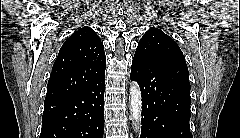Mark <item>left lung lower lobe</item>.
Here are the masks:
<instances>
[{
    "mask_svg": "<svg viewBox=\"0 0 240 138\" xmlns=\"http://www.w3.org/2000/svg\"><path fill=\"white\" fill-rule=\"evenodd\" d=\"M130 78L142 94L141 138H192L187 65L134 57Z\"/></svg>",
    "mask_w": 240,
    "mask_h": 138,
    "instance_id": "obj_1",
    "label": "left lung lower lobe"
}]
</instances>
